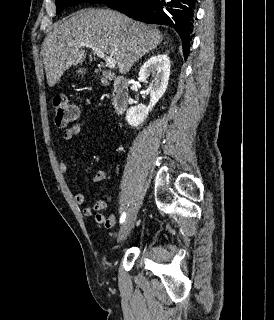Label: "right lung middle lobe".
Returning <instances> with one entry per match:
<instances>
[{"mask_svg": "<svg viewBox=\"0 0 274 320\" xmlns=\"http://www.w3.org/2000/svg\"><path fill=\"white\" fill-rule=\"evenodd\" d=\"M111 0H56L57 14L61 13L65 8L80 3L107 4Z\"/></svg>", "mask_w": 274, "mask_h": 320, "instance_id": "right-lung-middle-lobe-1", "label": "right lung middle lobe"}]
</instances>
